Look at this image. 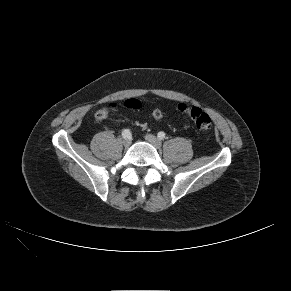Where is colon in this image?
I'll use <instances>...</instances> for the list:
<instances>
[{"label":"colon","instance_id":"1","mask_svg":"<svg viewBox=\"0 0 291 291\" xmlns=\"http://www.w3.org/2000/svg\"><path fill=\"white\" fill-rule=\"evenodd\" d=\"M125 107L129 109H140L141 108V102L136 99H129L125 101L124 103ZM114 107V105H109L107 107H103L100 110H98L95 114V119L97 121L104 120L107 116L109 111ZM178 110L186 114L190 119L193 121L195 127L202 132H207L211 129L212 121L210 116L204 112L201 108L196 106H187L185 104H179ZM152 116L154 120L159 121L163 117V111L160 108H155L152 112Z\"/></svg>","mask_w":291,"mask_h":291}]
</instances>
